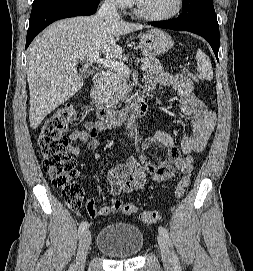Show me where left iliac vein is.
<instances>
[{
  "instance_id": "1",
  "label": "left iliac vein",
  "mask_w": 253,
  "mask_h": 271,
  "mask_svg": "<svg viewBox=\"0 0 253 271\" xmlns=\"http://www.w3.org/2000/svg\"><path fill=\"white\" fill-rule=\"evenodd\" d=\"M158 244H159L160 253H161L164 267L167 269H172L173 259L171 256V252L165 239L162 236H158Z\"/></svg>"
}]
</instances>
